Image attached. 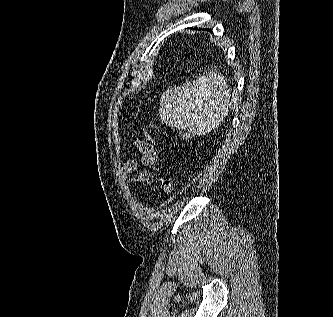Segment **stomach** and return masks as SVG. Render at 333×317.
Here are the masks:
<instances>
[{
	"label": "stomach",
	"instance_id": "obj_1",
	"mask_svg": "<svg viewBox=\"0 0 333 317\" xmlns=\"http://www.w3.org/2000/svg\"><path fill=\"white\" fill-rule=\"evenodd\" d=\"M207 74H209V71ZM190 80L191 82H202L203 77L202 75H191ZM205 82H219V81H205Z\"/></svg>",
	"mask_w": 333,
	"mask_h": 317
}]
</instances>
